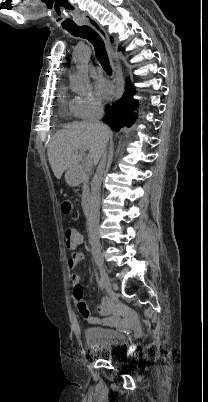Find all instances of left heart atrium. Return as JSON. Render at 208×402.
Listing matches in <instances>:
<instances>
[{
	"label": "left heart atrium",
	"mask_w": 208,
	"mask_h": 402,
	"mask_svg": "<svg viewBox=\"0 0 208 402\" xmlns=\"http://www.w3.org/2000/svg\"><path fill=\"white\" fill-rule=\"evenodd\" d=\"M96 95L103 101L109 102L114 98L115 90L111 82L99 77L95 83Z\"/></svg>",
	"instance_id": "left-heart-atrium-1"
}]
</instances>
